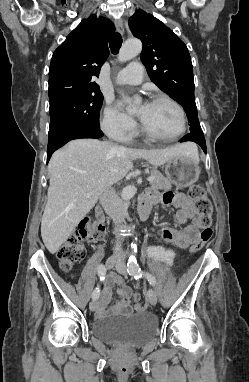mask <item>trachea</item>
<instances>
[{
    "label": "trachea",
    "mask_w": 249,
    "mask_h": 382,
    "mask_svg": "<svg viewBox=\"0 0 249 382\" xmlns=\"http://www.w3.org/2000/svg\"><path fill=\"white\" fill-rule=\"evenodd\" d=\"M122 45V36L119 33H115L109 42V47L113 54H117Z\"/></svg>",
    "instance_id": "1"
}]
</instances>
